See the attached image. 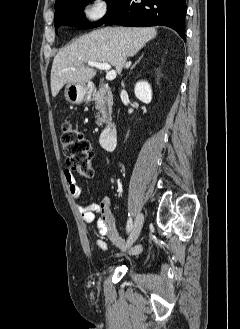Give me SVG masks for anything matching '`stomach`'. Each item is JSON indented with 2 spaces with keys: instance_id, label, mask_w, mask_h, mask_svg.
Wrapping results in <instances>:
<instances>
[{
  "instance_id": "stomach-1",
  "label": "stomach",
  "mask_w": 240,
  "mask_h": 329,
  "mask_svg": "<svg viewBox=\"0 0 240 329\" xmlns=\"http://www.w3.org/2000/svg\"><path fill=\"white\" fill-rule=\"evenodd\" d=\"M89 95V86L86 84L68 83L65 87V98L72 104L86 101Z\"/></svg>"
}]
</instances>
